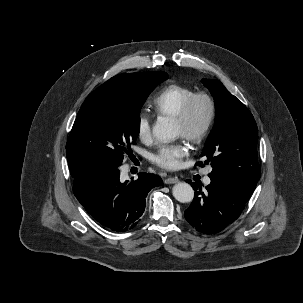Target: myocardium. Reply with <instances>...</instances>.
<instances>
[{"label": "myocardium", "instance_id": "1", "mask_svg": "<svg viewBox=\"0 0 303 303\" xmlns=\"http://www.w3.org/2000/svg\"><path fill=\"white\" fill-rule=\"evenodd\" d=\"M200 99H203L207 104V114L200 128H198L195 131H191L190 122H191L192 111L195 103ZM215 115H216L215 100L209 93L204 91H199V92H195L185 101L179 113L174 117V119L179 124H181L185 129V133L183 137L193 144H199L208 135L212 127V124L214 122Z\"/></svg>", "mask_w": 303, "mask_h": 303}]
</instances>
